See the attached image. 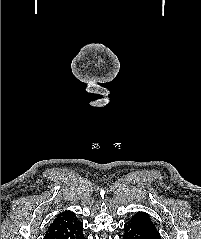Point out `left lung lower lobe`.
Here are the masks:
<instances>
[{"label":"left lung lower lobe","instance_id":"left-lung-lower-lobe-1","mask_svg":"<svg viewBox=\"0 0 201 239\" xmlns=\"http://www.w3.org/2000/svg\"><path fill=\"white\" fill-rule=\"evenodd\" d=\"M123 239H158L144 224L128 221L124 225Z\"/></svg>","mask_w":201,"mask_h":239}]
</instances>
